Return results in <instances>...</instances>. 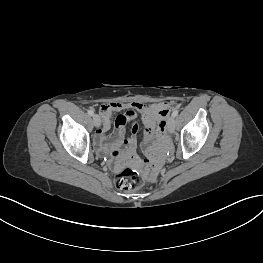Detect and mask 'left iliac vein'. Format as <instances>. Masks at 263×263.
<instances>
[{"mask_svg": "<svg viewBox=\"0 0 263 263\" xmlns=\"http://www.w3.org/2000/svg\"><path fill=\"white\" fill-rule=\"evenodd\" d=\"M167 128L170 133H173L175 130V117L173 115L168 119Z\"/></svg>", "mask_w": 263, "mask_h": 263, "instance_id": "obj_1", "label": "left iliac vein"}]
</instances>
